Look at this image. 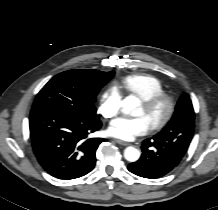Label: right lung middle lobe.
<instances>
[{
	"label": "right lung middle lobe",
	"instance_id": "dd1d6c3e",
	"mask_svg": "<svg viewBox=\"0 0 218 210\" xmlns=\"http://www.w3.org/2000/svg\"><path fill=\"white\" fill-rule=\"evenodd\" d=\"M90 78L66 71L54 76L37 94L32 109L59 107L87 117H95L94 102L99 90L111 79Z\"/></svg>",
	"mask_w": 218,
	"mask_h": 210
}]
</instances>
